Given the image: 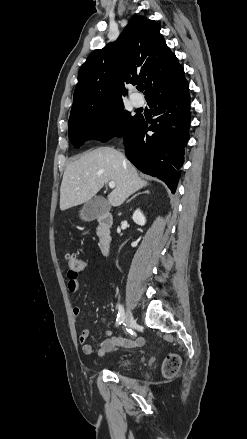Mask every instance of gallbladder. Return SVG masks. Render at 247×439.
<instances>
[{
	"instance_id": "1",
	"label": "gallbladder",
	"mask_w": 247,
	"mask_h": 439,
	"mask_svg": "<svg viewBox=\"0 0 247 439\" xmlns=\"http://www.w3.org/2000/svg\"><path fill=\"white\" fill-rule=\"evenodd\" d=\"M109 211V205L104 198L95 196L86 202L80 210V217L85 221H92Z\"/></svg>"
}]
</instances>
